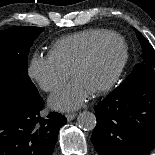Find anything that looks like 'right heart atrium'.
Returning a JSON list of instances; mask_svg holds the SVG:
<instances>
[{"instance_id":"1","label":"right heart atrium","mask_w":155,"mask_h":155,"mask_svg":"<svg viewBox=\"0 0 155 155\" xmlns=\"http://www.w3.org/2000/svg\"><path fill=\"white\" fill-rule=\"evenodd\" d=\"M30 77L49 93L59 91L70 77V72L49 55L35 54L29 65Z\"/></svg>"}]
</instances>
